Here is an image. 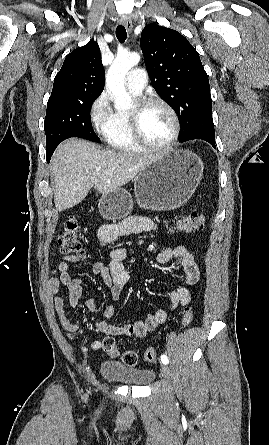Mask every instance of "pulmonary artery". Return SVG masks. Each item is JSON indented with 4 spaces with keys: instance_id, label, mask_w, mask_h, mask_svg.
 <instances>
[{
    "instance_id": "e3ab8cb5",
    "label": "pulmonary artery",
    "mask_w": 269,
    "mask_h": 445,
    "mask_svg": "<svg viewBox=\"0 0 269 445\" xmlns=\"http://www.w3.org/2000/svg\"><path fill=\"white\" fill-rule=\"evenodd\" d=\"M126 87L133 94H140L146 85V72L144 69L135 68L129 72L126 78Z\"/></svg>"
}]
</instances>
